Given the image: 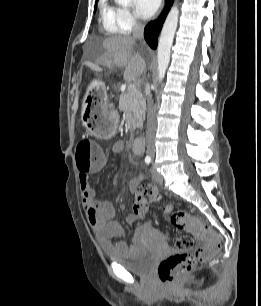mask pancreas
Instances as JSON below:
<instances>
[{
	"label": "pancreas",
	"instance_id": "pancreas-1",
	"mask_svg": "<svg viewBox=\"0 0 261 306\" xmlns=\"http://www.w3.org/2000/svg\"><path fill=\"white\" fill-rule=\"evenodd\" d=\"M119 109L120 111L133 116L136 127L141 126L146 111V102L141 91L137 89V92L134 93L127 88V90L120 96Z\"/></svg>",
	"mask_w": 261,
	"mask_h": 306
}]
</instances>
